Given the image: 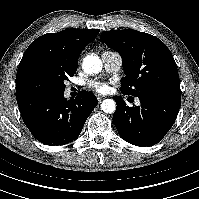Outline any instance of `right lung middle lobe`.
I'll return each mask as SVG.
<instances>
[{
	"label": "right lung middle lobe",
	"mask_w": 199,
	"mask_h": 199,
	"mask_svg": "<svg viewBox=\"0 0 199 199\" xmlns=\"http://www.w3.org/2000/svg\"><path fill=\"white\" fill-rule=\"evenodd\" d=\"M72 73H64L39 62H32L17 71L16 99L52 96L65 90L64 82L72 77Z\"/></svg>",
	"instance_id": "dd1d6c3e"
}]
</instances>
